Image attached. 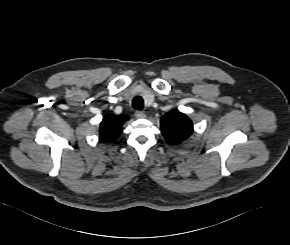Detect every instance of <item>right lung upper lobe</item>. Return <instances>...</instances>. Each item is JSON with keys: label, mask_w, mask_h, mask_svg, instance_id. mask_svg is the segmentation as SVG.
<instances>
[{"label": "right lung upper lobe", "mask_w": 290, "mask_h": 245, "mask_svg": "<svg viewBox=\"0 0 290 245\" xmlns=\"http://www.w3.org/2000/svg\"><path fill=\"white\" fill-rule=\"evenodd\" d=\"M128 120L127 116L108 114L104 116L100 124V136L105 141H113L119 137L122 125Z\"/></svg>", "instance_id": "right-lung-upper-lobe-1"}]
</instances>
